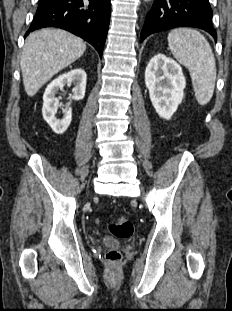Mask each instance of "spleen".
I'll return each instance as SVG.
<instances>
[{
  "label": "spleen",
  "mask_w": 232,
  "mask_h": 311,
  "mask_svg": "<svg viewBox=\"0 0 232 311\" xmlns=\"http://www.w3.org/2000/svg\"><path fill=\"white\" fill-rule=\"evenodd\" d=\"M168 45L175 59L188 68L198 103L207 104L216 81V63L208 41L195 29L179 28L168 34Z\"/></svg>",
  "instance_id": "spleen-1"
}]
</instances>
